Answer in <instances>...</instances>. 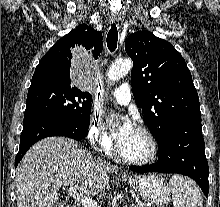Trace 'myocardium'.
Here are the masks:
<instances>
[{
  "label": "myocardium",
  "instance_id": "f54148a6",
  "mask_svg": "<svg viewBox=\"0 0 220 207\" xmlns=\"http://www.w3.org/2000/svg\"><path fill=\"white\" fill-rule=\"evenodd\" d=\"M135 129H137L140 132H142L147 137V139L150 142L151 149H150V153L148 154V156L143 158V159H131V158H128V157H126L125 155L122 154L118 142L115 145V151H114L115 155L117 156V158L119 160H121L124 163L130 164V165H139V166H141V165L149 164L153 160H155V158L157 156V153H158V143H157V140H156L154 134L151 132V130L148 129L146 126L138 125V126H136Z\"/></svg>",
  "mask_w": 220,
  "mask_h": 207
}]
</instances>
